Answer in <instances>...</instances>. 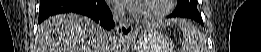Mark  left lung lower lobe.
<instances>
[{
	"label": "left lung lower lobe",
	"mask_w": 261,
	"mask_h": 52,
	"mask_svg": "<svg viewBox=\"0 0 261 52\" xmlns=\"http://www.w3.org/2000/svg\"><path fill=\"white\" fill-rule=\"evenodd\" d=\"M168 17H186V16H183V15H180V14H177V13H172L171 15H169ZM187 18H189V17H187ZM197 22H199V23H203V21H197Z\"/></svg>",
	"instance_id": "1"
}]
</instances>
